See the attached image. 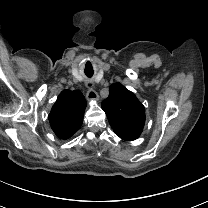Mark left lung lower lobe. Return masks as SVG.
I'll list each match as a JSON object with an SVG mask.
<instances>
[{
	"label": "left lung lower lobe",
	"instance_id": "1",
	"mask_svg": "<svg viewBox=\"0 0 208 208\" xmlns=\"http://www.w3.org/2000/svg\"><path fill=\"white\" fill-rule=\"evenodd\" d=\"M115 134L119 136L121 139L126 141H131L137 139L140 135L139 134H133V133H127V132H119L115 131Z\"/></svg>",
	"mask_w": 208,
	"mask_h": 208
}]
</instances>
